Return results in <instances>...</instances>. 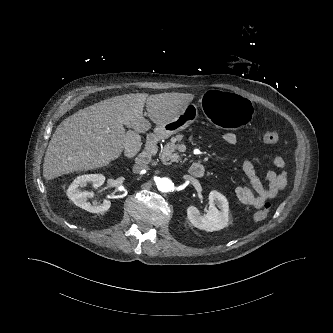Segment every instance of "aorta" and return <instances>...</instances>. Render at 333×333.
Here are the masks:
<instances>
[{
    "mask_svg": "<svg viewBox=\"0 0 333 333\" xmlns=\"http://www.w3.org/2000/svg\"><path fill=\"white\" fill-rule=\"evenodd\" d=\"M156 185L158 190L161 192H169L173 188V182L167 177L159 178Z\"/></svg>",
    "mask_w": 333,
    "mask_h": 333,
    "instance_id": "762f6f07",
    "label": "aorta"
}]
</instances>
